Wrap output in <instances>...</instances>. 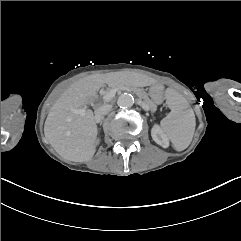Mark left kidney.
<instances>
[{"label":"left kidney","instance_id":"5707ae66","mask_svg":"<svg viewBox=\"0 0 241 241\" xmlns=\"http://www.w3.org/2000/svg\"><path fill=\"white\" fill-rule=\"evenodd\" d=\"M151 136L153 140L163 148L169 147V139L167 135L163 132V130L157 124L153 126L151 130Z\"/></svg>","mask_w":241,"mask_h":241}]
</instances>
